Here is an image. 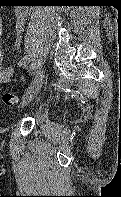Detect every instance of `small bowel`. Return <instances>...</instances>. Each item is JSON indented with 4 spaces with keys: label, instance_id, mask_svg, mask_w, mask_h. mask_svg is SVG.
<instances>
[{
    "label": "small bowel",
    "instance_id": "obj_1",
    "mask_svg": "<svg viewBox=\"0 0 121 197\" xmlns=\"http://www.w3.org/2000/svg\"><path fill=\"white\" fill-rule=\"evenodd\" d=\"M29 16V10L27 8L18 7L15 10V32L16 38L14 40V46L16 48L20 47L21 38L20 35L24 29L25 22ZM2 35V19L0 16V38ZM3 56L2 50L0 47V84H6L10 81L11 77L13 76V68L12 67H3Z\"/></svg>",
    "mask_w": 121,
    "mask_h": 197
}]
</instances>
